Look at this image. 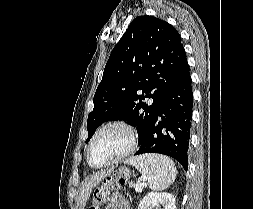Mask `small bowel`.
I'll return each instance as SVG.
<instances>
[{"instance_id": "c3829d8e", "label": "small bowel", "mask_w": 253, "mask_h": 209, "mask_svg": "<svg viewBox=\"0 0 253 209\" xmlns=\"http://www.w3.org/2000/svg\"><path fill=\"white\" fill-rule=\"evenodd\" d=\"M105 209H131L130 203L120 193H114Z\"/></svg>"}]
</instances>
